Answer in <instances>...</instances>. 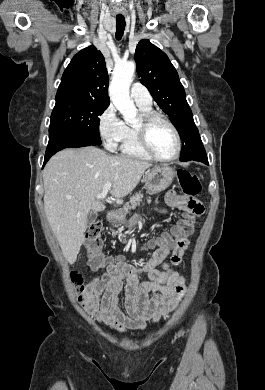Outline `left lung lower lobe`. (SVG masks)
I'll return each instance as SVG.
<instances>
[{"mask_svg": "<svg viewBox=\"0 0 265 390\" xmlns=\"http://www.w3.org/2000/svg\"><path fill=\"white\" fill-rule=\"evenodd\" d=\"M191 160H195V161H201L202 163H205L208 165V158H207V155H206V152H205V149L201 150L200 152H198L197 154H195Z\"/></svg>", "mask_w": 265, "mask_h": 390, "instance_id": "0a47b994", "label": "left lung lower lobe"}]
</instances>
